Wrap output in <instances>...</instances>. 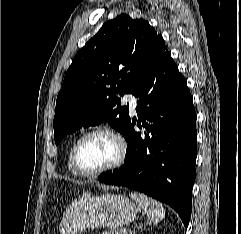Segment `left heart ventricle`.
I'll use <instances>...</instances> for the list:
<instances>
[{
    "label": "left heart ventricle",
    "mask_w": 241,
    "mask_h": 234,
    "mask_svg": "<svg viewBox=\"0 0 241 234\" xmlns=\"http://www.w3.org/2000/svg\"><path fill=\"white\" fill-rule=\"evenodd\" d=\"M118 155V145L109 135L100 133L86 139L80 146L78 161L85 171H95L112 163Z\"/></svg>",
    "instance_id": "left-heart-ventricle-1"
}]
</instances>
